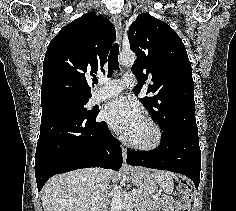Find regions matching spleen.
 <instances>
[{"label": "spleen", "mask_w": 236, "mask_h": 211, "mask_svg": "<svg viewBox=\"0 0 236 211\" xmlns=\"http://www.w3.org/2000/svg\"><path fill=\"white\" fill-rule=\"evenodd\" d=\"M152 178L159 184L161 189L164 190L165 193L171 194L174 190V175L167 171H157L151 175Z\"/></svg>", "instance_id": "obj_1"}]
</instances>
